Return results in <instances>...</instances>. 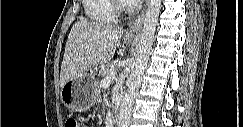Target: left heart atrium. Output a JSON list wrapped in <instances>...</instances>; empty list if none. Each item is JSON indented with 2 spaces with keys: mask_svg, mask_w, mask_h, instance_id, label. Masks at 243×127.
I'll list each match as a JSON object with an SVG mask.
<instances>
[{
  "mask_svg": "<svg viewBox=\"0 0 243 127\" xmlns=\"http://www.w3.org/2000/svg\"><path fill=\"white\" fill-rule=\"evenodd\" d=\"M129 4H136L138 2H140L139 0H128L127 1Z\"/></svg>",
  "mask_w": 243,
  "mask_h": 127,
  "instance_id": "left-heart-atrium-1",
  "label": "left heart atrium"
}]
</instances>
